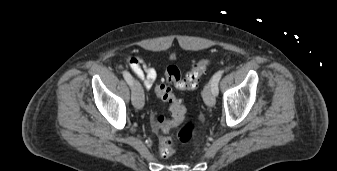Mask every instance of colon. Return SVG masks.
Here are the masks:
<instances>
[{
	"mask_svg": "<svg viewBox=\"0 0 337 171\" xmlns=\"http://www.w3.org/2000/svg\"><path fill=\"white\" fill-rule=\"evenodd\" d=\"M210 60L201 59L194 63L192 69L184 76L175 66H168L164 78L156 85L155 91L158 97L169 105L171 118L158 114L153 120L154 130L158 136L159 152L162 157H170L175 153L172 138L169 135L171 129L178 127L177 138L181 143L192 140L197 126L192 121L185 119L186 108L179 98L175 96L166 82L174 84L179 90L195 89L201 75L206 71Z\"/></svg>",
	"mask_w": 337,
	"mask_h": 171,
	"instance_id": "obj_1",
	"label": "colon"
}]
</instances>
